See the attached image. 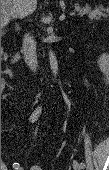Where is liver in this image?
Instances as JSON below:
<instances>
[{
  "instance_id": "6515ba94",
  "label": "liver",
  "mask_w": 109,
  "mask_h": 170,
  "mask_svg": "<svg viewBox=\"0 0 109 170\" xmlns=\"http://www.w3.org/2000/svg\"><path fill=\"white\" fill-rule=\"evenodd\" d=\"M2 9H6L7 15L2 14V26L10 22V18H24L36 9L37 0H1Z\"/></svg>"
}]
</instances>
